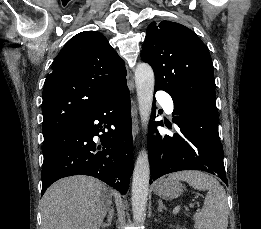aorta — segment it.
Masks as SVG:
<instances>
[{
  "label": "aorta",
  "instance_id": "1",
  "mask_svg": "<svg viewBox=\"0 0 261 229\" xmlns=\"http://www.w3.org/2000/svg\"><path fill=\"white\" fill-rule=\"evenodd\" d=\"M154 80V72L150 64L139 62L135 68V82L140 117L144 127H147L151 115ZM149 179L150 169L147 151H141L135 163L131 191L132 213L136 223H143L145 221Z\"/></svg>",
  "mask_w": 261,
  "mask_h": 229
}]
</instances>
